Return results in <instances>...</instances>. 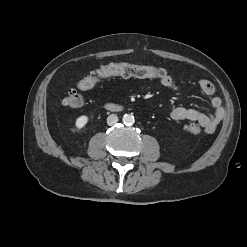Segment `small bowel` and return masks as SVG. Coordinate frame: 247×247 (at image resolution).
I'll return each instance as SVG.
<instances>
[{"label": "small bowel", "mask_w": 247, "mask_h": 247, "mask_svg": "<svg viewBox=\"0 0 247 247\" xmlns=\"http://www.w3.org/2000/svg\"><path fill=\"white\" fill-rule=\"evenodd\" d=\"M160 83L173 91L178 90L180 87V85L177 84L170 76L160 79ZM197 84L201 91L210 97L213 112L177 106L171 110L170 117L177 121L196 122L203 128L205 133L211 134L216 130L219 123L224 118L225 110L222 106L220 97L215 95V87L212 82L201 79Z\"/></svg>", "instance_id": "small-bowel-1"}]
</instances>
